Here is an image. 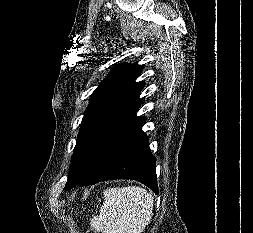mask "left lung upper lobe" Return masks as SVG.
<instances>
[{"instance_id": "left-lung-upper-lobe-1", "label": "left lung upper lobe", "mask_w": 253, "mask_h": 233, "mask_svg": "<svg viewBox=\"0 0 253 233\" xmlns=\"http://www.w3.org/2000/svg\"><path fill=\"white\" fill-rule=\"evenodd\" d=\"M142 69L137 63L117 65L91 94L64 189L84 178L114 130L141 101L144 82L135 80Z\"/></svg>"}]
</instances>
